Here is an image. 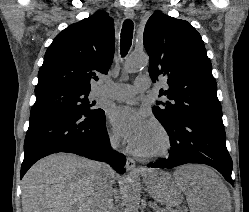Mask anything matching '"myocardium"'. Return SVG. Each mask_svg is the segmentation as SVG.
<instances>
[{"label": "myocardium", "mask_w": 249, "mask_h": 212, "mask_svg": "<svg viewBox=\"0 0 249 212\" xmlns=\"http://www.w3.org/2000/svg\"><path fill=\"white\" fill-rule=\"evenodd\" d=\"M148 124L154 126L159 131L160 136H161L162 141H163L162 146L160 149H158L155 152H152V153L138 152V153H136V156L138 158L144 159V160H154V159H160V158L167 157L170 154L172 147H173V139H172L170 132L164 126V124L161 123L157 119L149 120Z\"/></svg>", "instance_id": "f54148a6"}]
</instances>
